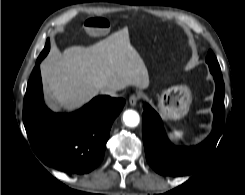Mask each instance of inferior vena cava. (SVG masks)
I'll list each match as a JSON object with an SVG mask.
<instances>
[{
  "instance_id": "inferior-vena-cava-1",
  "label": "inferior vena cava",
  "mask_w": 245,
  "mask_h": 195,
  "mask_svg": "<svg viewBox=\"0 0 245 195\" xmlns=\"http://www.w3.org/2000/svg\"><path fill=\"white\" fill-rule=\"evenodd\" d=\"M102 94L109 95L111 97H117L118 95L116 94V90L113 89H102L101 90Z\"/></svg>"
}]
</instances>
